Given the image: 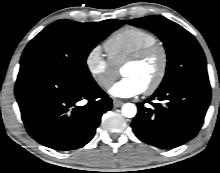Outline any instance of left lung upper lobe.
<instances>
[{"label":"left lung upper lobe","instance_id":"1","mask_svg":"<svg viewBox=\"0 0 220 173\" xmlns=\"http://www.w3.org/2000/svg\"><path fill=\"white\" fill-rule=\"evenodd\" d=\"M126 22L151 30L164 44L167 68L157 90H165L182 83L209 82L204 53L194 36L183 27L157 15Z\"/></svg>","mask_w":220,"mask_h":173}]
</instances>
